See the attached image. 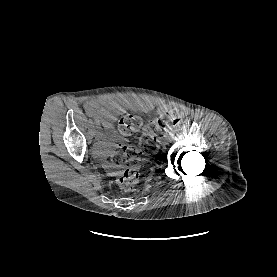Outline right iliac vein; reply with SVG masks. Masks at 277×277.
I'll return each mask as SVG.
<instances>
[{
	"mask_svg": "<svg viewBox=\"0 0 277 277\" xmlns=\"http://www.w3.org/2000/svg\"><path fill=\"white\" fill-rule=\"evenodd\" d=\"M95 138H96V139L99 138V134H95Z\"/></svg>",
	"mask_w": 277,
	"mask_h": 277,
	"instance_id": "63e3f726",
	"label": "right iliac vein"
}]
</instances>
